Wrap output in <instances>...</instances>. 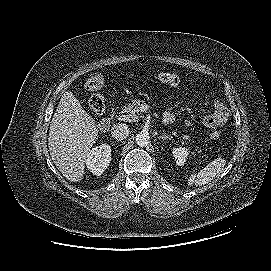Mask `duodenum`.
Masks as SVG:
<instances>
[{
  "label": "duodenum",
  "instance_id": "duodenum-1",
  "mask_svg": "<svg viewBox=\"0 0 271 271\" xmlns=\"http://www.w3.org/2000/svg\"><path fill=\"white\" fill-rule=\"evenodd\" d=\"M112 122V117L111 116H106L102 118L99 123H98V128L100 131H107L111 125Z\"/></svg>",
  "mask_w": 271,
  "mask_h": 271
}]
</instances>
